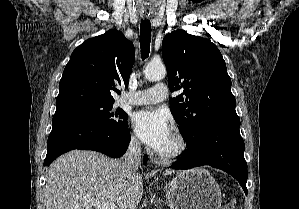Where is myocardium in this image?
<instances>
[{
	"label": "myocardium",
	"instance_id": "1",
	"mask_svg": "<svg viewBox=\"0 0 299 209\" xmlns=\"http://www.w3.org/2000/svg\"><path fill=\"white\" fill-rule=\"evenodd\" d=\"M172 135L175 140L173 149L166 152H155L156 158L163 163H171L181 158L188 150L189 143L185 134L178 128H173Z\"/></svg>",
	"mask_w": 299,
	"mask_h": 209
}]
</instances>
